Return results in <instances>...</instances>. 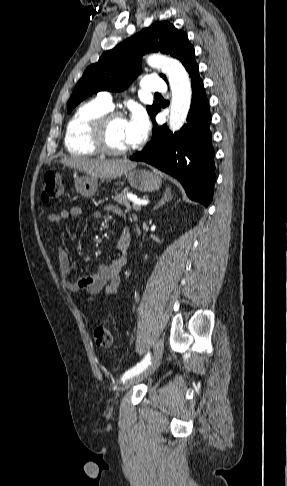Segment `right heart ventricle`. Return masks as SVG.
Returning <instances> with one entry per match:
<instances>
[{
  "label": "right heart ventricle",
  "instance_id": "1",
  "mask_svg": "<svg viewBox=\"0 0 287 486\" xmlns=\"http://www.w3.org/2000/svg\"><path fill=\"white\" fill-rule=\"evenodd\" d=\"M109 110L110 107L98 98L77 108L67 123L64 137L65 148L70 154L86 157L98 154L90 142L89 131L93 121Z\"/></svg>",
  "mask_w": 287,
  "mask_h": 486
}]
</instances>
